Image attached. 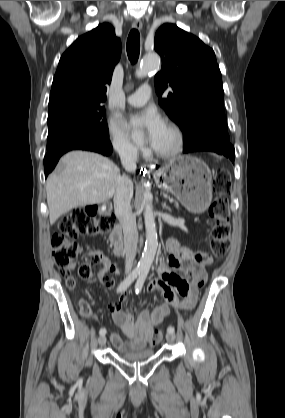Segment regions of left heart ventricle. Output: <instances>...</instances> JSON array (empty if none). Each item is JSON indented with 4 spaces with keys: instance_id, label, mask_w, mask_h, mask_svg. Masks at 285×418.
Masks as SVG:
<instances>
[{
    "instance_id": "1",
    "label": "left heart ventricle",
    "mask_w": 285,
    "mask_h": 418,
    "mask_svg": "<svg viewBox=\"0 0 285 418\" xmlns=\"http://www.w3.org/2000/svg\"><path fill=\"white\" fill-rule=\"evenodd\" d=\"M175 143L174 134L166 127L163 133L160 135L155 148L160 150H169Z\"/></svg>"
}]
</instances>
